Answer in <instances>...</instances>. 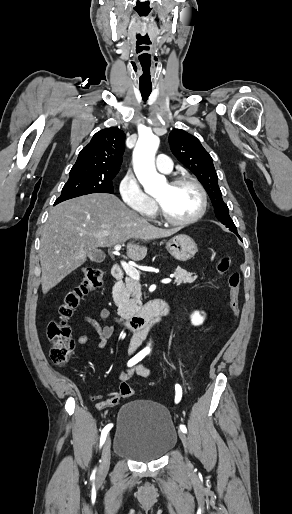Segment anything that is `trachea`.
<instances>
[{"label":"trachea","mask_w":292,"mask_h":514,"mask_svg":"<svg viewBox=\"0 0 292 514\" xmlns=\"http://www.w3.org/2000/svg\"><path fill=\"white\" fill-rule=\"evenodd\" d=\"M140 92H141V95H142V98L144 100V102L148 99L150 93H151V90H146V89H140Z\"/></svg>","instance_id":"trachea-1"}]
</instances>
